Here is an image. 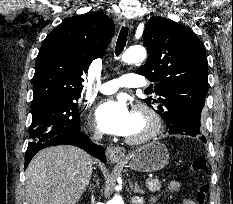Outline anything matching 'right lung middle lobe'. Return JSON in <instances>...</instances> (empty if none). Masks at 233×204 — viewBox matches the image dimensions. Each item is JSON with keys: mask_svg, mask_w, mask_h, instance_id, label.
Returning a JSON list of instances; mask_svg holds the SVG:
<instances>
[{"mask_svg": "<svg viewBox=\"0 0 233 204\" xmlns=\"http://www.w3.org/2000/svg\"><path fill=\"white\" fill-rule=\"evenodd\" d=\"M75 100H52L32 105L31 141L27 150L40 148L56 135L80 132V116Z\"/></svg>", "mask_w": 233, "mask_h": 204, "instance_id": "right-lung-middle-lobe-1", "label": "right lung middle lobe"}]
</instances>
